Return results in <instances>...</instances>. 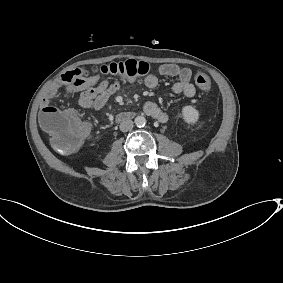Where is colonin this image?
<instances>
[{
    "label": "colon",
    "instance_id": "1",
    "mask_svg": "<svg viewBox=\"0 0 283 283\" xmlns=\"http://www.w3.org/2000/svg\"><path fill=\"white\" fill-rule=\"evenodd\" d=\"M94 70L124 80H135L150 74L151 68L146 62L128 60L103 65ZM194 82L204 92L212 88L211 79L206 74L197 73L194 76ZM39 120L42 128L50 135L54 147L65 154L77 150L91 131L89 121L73 109L60 111L49 107L42 111Z\"/></svg>",
    "mask_w": 283,
    "mask_h": 283
}]
</instances>
